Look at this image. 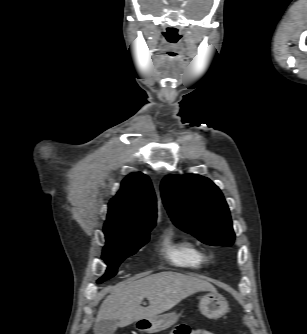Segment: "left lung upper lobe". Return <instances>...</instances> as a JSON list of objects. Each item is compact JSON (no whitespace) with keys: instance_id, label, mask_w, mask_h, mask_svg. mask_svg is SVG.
Listing matches in <instances>:
<instances>
[{"instance_id":"left-lung-upper-lobe-1","label":"left lung upper lobe","mask_w":307,"mask_h":334,"mask_svg":"<svg viewBox=\"0 0 307 334\" xmlns=\"http://www.w3.org/2000/svg\"><path fill=\"white\" fill-rule=\"evenodd\" d=\"M161 195L178 228L211 246L232 245L229 208L211 180L196 174L169 175L161 183Z\"/></svg>"}]
</instances>
